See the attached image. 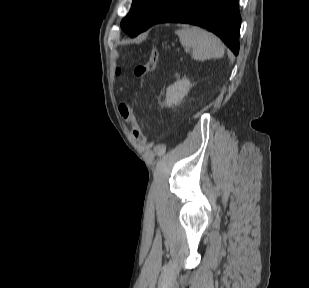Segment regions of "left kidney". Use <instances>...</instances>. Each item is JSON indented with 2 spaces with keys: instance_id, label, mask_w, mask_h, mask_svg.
Segmentation results:
<instances>
[{
  "instance_id": "obj_1",
  "label": "left kidney",
  "mask_w": 309,
  "mask_h": 288,
  "mask_svg": "<svg viewBox=\"0 0 309 288\" xmlns=\"http://www.w3.org/2000/svg\"><path fill=\"white\" fill-rule=\"evenodd\" d=\"M191 87L192 85L187 78L178 80L173 85L169 86L166 92V106L171 107L173 105H178L188 94Z\"/></svg>"
}]
</instances>
